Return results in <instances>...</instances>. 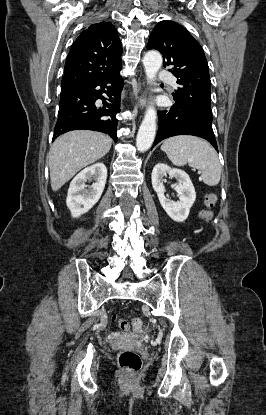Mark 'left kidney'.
I'll list each match as a JSON object with an SVG mask.
<instances>
[{
  "instance_id": "5707ae66",
  "label": "left kidney",
  "mask_w": 266,
  "mask_h": 415,
  "mask_svg": "<svg viewBox=\"0 0 266 415\" xmlns=\"http://www.w3.org/2000/svg\"><path fill=\"white\" fill-rule=\"evenodd\" d=\"M167 174L174 177L178 182L175 187L179 197L177 202L165 196L163 181ZM151 178L153 189L156 191L160 204L168 216L176 222L186 220L196 198V192L188 174L183 170L171 168L164 163H158L153 168Z\"/></svg>"
}]
</instances>
